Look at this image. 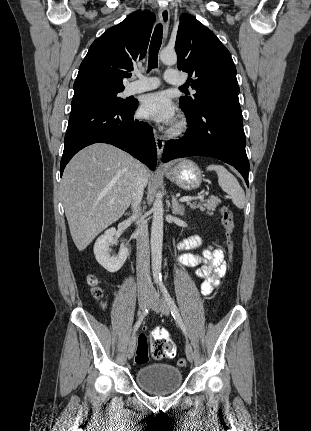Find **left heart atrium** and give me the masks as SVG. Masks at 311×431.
I'll list each match as a JSON object with an SVG mask.
<instances>
[{"label": "left heart atrium", "mask_w": 311, "mask_h": 431, "mask_svg": "<svg viewBox=\"0 0 311 431\" xmlns=\"http://www.w3.org/2000/svg\"><path fill=\"white\" fill-rule=\"evenodd\" d=\"M139 114L154 122L168 124L175 119L176 108L168 93L154 92L142 98Z\"/></svg>", "instance_id": "39dd6f15"}]
</instances>
